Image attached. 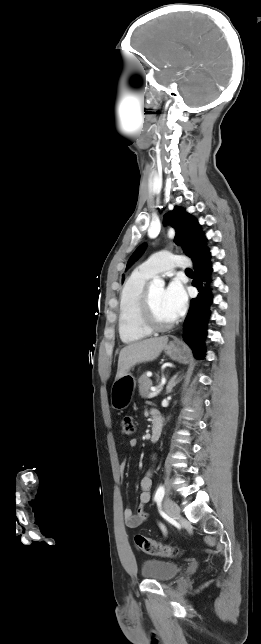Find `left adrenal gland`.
I'll return each instance as SVG.
<instances>
[{
  "mask_svg": "<svg viewBox=\"0 0 261 644\" xmlns=\"http://www.w3.org/2000/svg\"><path fill=\"white\" fill-rule=\"evenodd\" d=\"M179 373H176L168 382V385L166 387V394L170 393L172 389L184 378L183 377H178Z\"/></svg>",
  "mask_w": 261,
  "mask_h": 644,
  "instance_id": "1",
  "label": "left adrenal gland"
}]
</instances>
